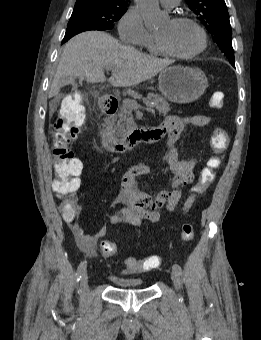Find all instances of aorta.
<instances>
[{
	"label": "aorta",
	"mask_w": 261,
	"mask_h": 340,
	"mask_svg": "<svg viewBox=\"0 0 261 340\" xmlns=\"http://www.w3.org/2000/svg\"><path fill=\"white\" fill-rule=\"evenodd\" d=\"M137 7L147 28L161 25L166 15L160 10L158 0H136Z\"/></svg>",
	"instance_id": "obj_1"
}]
</instances>
